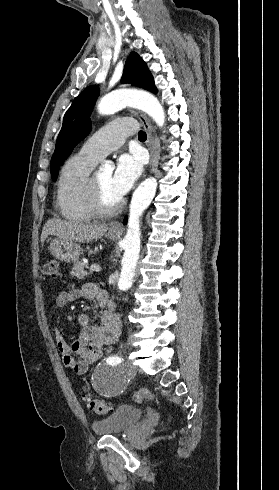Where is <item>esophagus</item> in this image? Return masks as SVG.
Instances as JSON below:
<instances>
[{"label": "esophagus", "mask_w": 279, "mask_h": 490, "mask_svg": "<svg viewBox=\"0 0 279 490\" xmlns=\"http://www.w3.org/2000/svg\"><path fill=\"white\" fill-rule=\"evenodd\" d=\"M134 113L138 117L140 122L142 123L144 130L147 133L146 145L148 147L149 154H150L149 167L156 168L159 157L158 158L156 157L157 150L155 147V140H154V136H153L152 126L150 125V122L144 113L139 112V111H134ZM110 227L113 230H118V229L122 228V225L119 222H113V223H111Z\"/></svg>", "instance_id": "34e87169"}]
</instances>
